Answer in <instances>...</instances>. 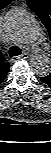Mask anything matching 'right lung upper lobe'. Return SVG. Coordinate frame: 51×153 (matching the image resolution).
<instances>
[{
    "instance_id": "1",
    "label": "right lung upper lobe",
    "mask_w": 51,
    "mask_h": 153,
    "mask_svg": "<svg viewBox=\"0 0 51 153\" xmlns=\"http://www.w3.org/2000/svg\"><path fill=\"white\" fill-rule=\"evenodd\" d=\"M12 0H0V10L5 8ZM10 65L5 62V59L0 51V83L5 79L7 73L9 72Z\"/></svg>"
}]
</instances>
